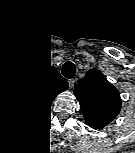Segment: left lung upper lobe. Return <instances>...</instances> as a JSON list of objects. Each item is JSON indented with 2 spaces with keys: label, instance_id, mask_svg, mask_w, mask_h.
<instances>
[{
  "label": "left lung upper lobe",
  "instance_id": "5c2ea615",
  "mask_svg": "<svg viewBox=\"0 0 135 153\" xmlns=\"http://www.w3.org/2000/svg\"><path fill=\"white\" fill-rule=\"evenodd\" d=\"M88 125L101 129L119 113L121 98L118 90L96 70H89L78 81L74 91Z\"/></svg>",
  "mask_w": 135,
  "mask_h": 153
}]
</instances>
